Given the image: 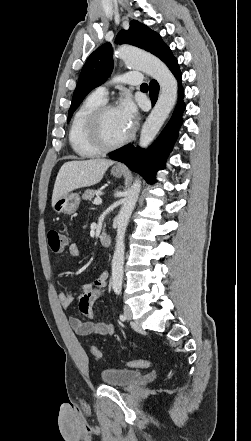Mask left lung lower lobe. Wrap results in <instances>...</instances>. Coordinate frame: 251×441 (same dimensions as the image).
Listing matches in <instances>:
<instances>
[{
	"instance_id": "0a47b994",
	"label": "left lung lower lobe",
	"mask_w": 251,
	"mask_h": 441,
	"mask_svg": "<svg viewBox=\"0 0 251 441\" xmlns=\"http://www.w3.org/2000/svg\"><path fill=\"white\" fill-rule=\"evenodd\" d=\"M162 61L169 67L179 82V100L170 121L156 142L147 151L141 150L139 147L134 148L133 145H126L110 155L111 159L124 163L130 170L140 173L151 184L156 181V172L164 168L165 158L171 152L178 136V129L182 124V113L185 109L183 102L184 90L181 87L182 74L177 59L170 49ZM149 91L152 105H154L159 92V84L156 80L150 82Z\"/></svg>"
}]
</instances>
